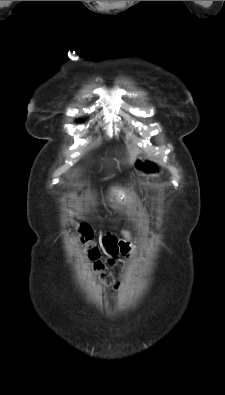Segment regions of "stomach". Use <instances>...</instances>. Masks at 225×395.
Listing matches in <instances>:
<instances>
[{"label":"stomach","instance_id":"obj_1","mask_svg":"<svg viewBox=\"0 0 225 395\" xmlns=\"http://www.w3.org/2000/svg\"><path fill=\"white\" fill-rule=\"evenodd\" d=\"M134 165L136 170L142 175H153L159 171V166L147 158H138L135 160ZM122 194L121 190L114 189L111 196L120 197Z\"/></svg>","mask_w":225,"mask_h":395}]
</instances>
